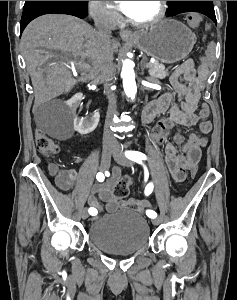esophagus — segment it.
Wrapping results in <instances>:
<instances>
[{"label": "esophagus", "mask_w": 237, "mask_h": 300, "mask_svg": "<svg viewBox=\"0 0 237 300\" xmlns=\"http://www.w3.org/2000/svg\"><path fill=\"white\" fill-rule=\"evenodd\" d=\"M119 34H120V37L124 40H133L138 37L137 34L133 33L129 29H121Z\"/></svg>", "instance_id": "obj_1"}]
</instances>
